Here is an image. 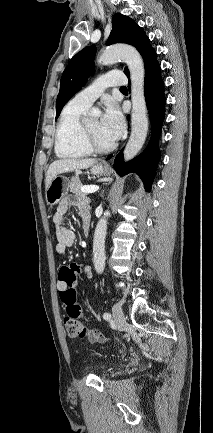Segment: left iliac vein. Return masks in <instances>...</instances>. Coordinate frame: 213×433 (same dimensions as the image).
<instances>
[{
    "instance_id": "4c4485c4",
    "label": "left iliac vein",
    "mask_w": 213,
    "mask_h": 433,
    "mask_svg": "<svg viewBox=\"0 0 213 433\" xmlns=\"http://www.w3.org/2000/svg\"><path fill=\"white\" fill-rule=\"evenodd\" d=\"M112 314L118 330H123L126 324L123 310L119 304H115L112 308Z\"/></svg>"
}]
</instances>
